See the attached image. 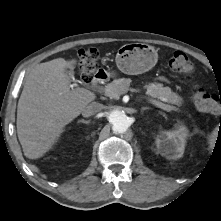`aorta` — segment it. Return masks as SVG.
I'll return each instance as SVG.
<instances>
[{
  "mask_svg": "<svg viewBox=\"0 0 221 221\" xmlns=\"http://www.w3.org/2000/svg\"><path fill=\"white\" fill-rule=\"evenodd\" d=\"M108 120L115 133H125L130 126L129 117L119 109L111 110L108 114Z\"/></svg>",
  "mask_w": 221,
  "mask_h": 221,
  "instance_id": "1",
  "label": "aorta"
}]
</instances>
